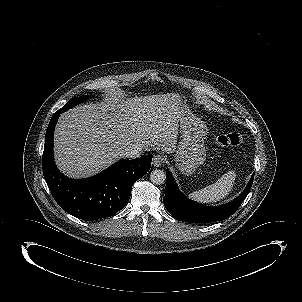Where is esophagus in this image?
Segmentation results:
<instances>
[{"mask_svg": "<svg viewBox=\"0 0 302 302\" xmlns=\"http://www.w3.org/2000/svg\"><path fill=\"white\" fill-rule=\"evenodd\" d=\"M164 162H165V159H164L163 156H161V155H155L153 157V160H152V165L154 167H160V166L163 165Z\"/></svg>", "mask_w": 302, "mask_h": 302, "instance_id": "esophagus-1", "label": "esophagus"}]
</instances>
